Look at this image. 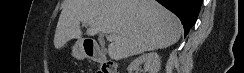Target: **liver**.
<instances>
[{
  "mask_svg": "<svg viewBox=\"0 0 244 73\" xmlns=\"http://www.w3.org/2000/svg\"><path fill=\"white\" fill-rule=\"evenodd\" d=\"M81 22L88 36H115L108 46L113 60L167 48L182 33L180 20L155 0H67L54 35L56 49L71 39L82 40Z\"/></svg>",
  "mask_w": 244,
  "mask_h": 73,
  "instance_id": "obj_1",
  "label": "liver"
}]
</instances>
